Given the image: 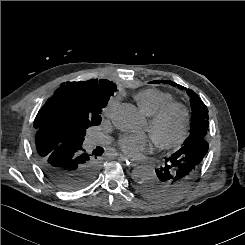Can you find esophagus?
Segmentation results:
<instances>
[{
	"mask_svg": "<svg viewBox=\"0 0 245 245\" xmlns=\"http://www.w3.org/2000/svg\"><path fill=\"white\" fill-rule=\"evenodd\" d=\"M119 160L120 161H123L124 163H125V166L126 167H129V168H131V167H134L136 164L134 163V162H132L130 159H128V158H126V157H124V156H119Z\"/></svg>",
	"mask_w": 245,
	"mask_h": 245,
	"instance_id": "esophagus-1",
	"label": "esophagus"
}]
</instances>
